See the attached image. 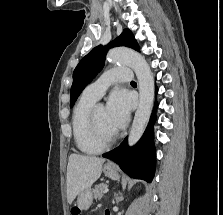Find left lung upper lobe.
<instances>
[{"label": "left lung upper lobe", "mask_w": 223, "mask_h": 215, "mask_svg": "<svg viewBox=\"0 0 223 215\" xmlns=\"http://www.w3.org/2000/svg\"><path fill=\"white\" fill-rule=\"evenodd\" d=\"M126 46L139 51V46L129 29L107 46L99 45L84 56L73 72V84L71 87L70 107H72L85 86L92 81L102 69L108 48Z\"/></svg>", "instance_id": "obj_1"}]
</instances>
